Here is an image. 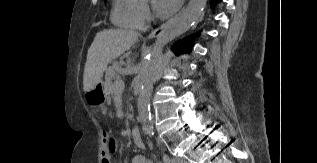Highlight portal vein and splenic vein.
I'll return each instance as SVG.
<instances>
[{"instance_id": "obj_1", "label": "portal vein and splenic vein", "mask_w": 317, "mask_h": 163, "mask_svg": "<svg viewBox=\"0 0 317 163\" xmlns=\"http://www.w3.org/2000/svg\"><path fill=\"white\" fill-rule=\"evenodd\" d=\"M114 86L116 91H123L125 87L124 82L121 79H117L114 83Z\"/></svg>"}]
</instances>
